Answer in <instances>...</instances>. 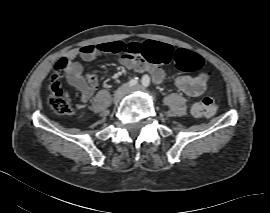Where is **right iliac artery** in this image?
Segmentation results:
<instances>
[{
  "mask_svg": "<svg viewBox=\"0 0 270 213\" xmlns=\"http://www.w3.org/2000/svg\"><path fill=\"white\" fill-rule=\"evenodd\" d=\"M137 83H138V78L135 77V78L129 80V81L125 84V86L131 87V86H135Z\"/></svg>",
  "mask_w": 270,
  "mask_h": 213,
  "instance_id": "1",
  "label": "right iliac artery"
}]
</instances>
